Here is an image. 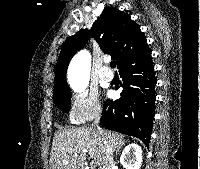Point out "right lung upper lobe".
<instances>
[{"label": "right lung upper lobe", "instance_id": "right-lung-upper-lobe-1", "mask_svg": "<svg viewBox=\"0 0 200 169\" xmlns=\"http://www.w3.org/2000/svg\"><path fill=\"white\" fill-rule=\"evenodd\" d=\"M90 36L103 52L117 60L119 69L150 52L146 37L131 17L118 9L107 7L90 31L82 29L64 42L56 64L54 95L71 92L66 81L68 64L77 50L87 44Z\"/></svg>", "mask_w": 200, "mask_h": 169}]
</instances>
